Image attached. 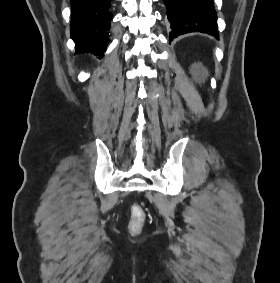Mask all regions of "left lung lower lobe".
Here are the masks:
<instances>
[{
    "label": "left lung lower lobe",
    "mask_w": 280,
    "mask_h": 283,
    "mask_svg": "<svg viewBox=\"0 0 280 283\" xmlns=\"http://www.w3.org/2000/svg\"><path fill=\"white\" fill-rule=\"evenodd\" d=\"M171 23L169 42L190 32L219 37L213 0H163Z\"/></svg>",
    "instance_id": "left-lung-lower-lobe-1"
}]
</instances>
